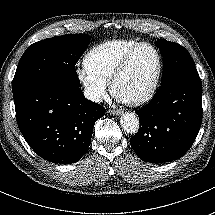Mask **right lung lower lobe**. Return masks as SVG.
Segmentation results:
<instances>
[{
	"label": "right lung lower lobe",
	"instance_id": "1",
	"mask_svg": "<svg viewBox=\"0 0 215 215\" xmlns=\"http://www.w3.org/2000/svg\"><path fill=\"white\" fill-rule=\"evenodd\" d=\"M19 129L41 158L58 164L79 161L105 108L85 99L80 87L43 82L13 95Z\"/></svg>",
	"mask_w": 215,
	"mask_h": 215
}]
</instances>
